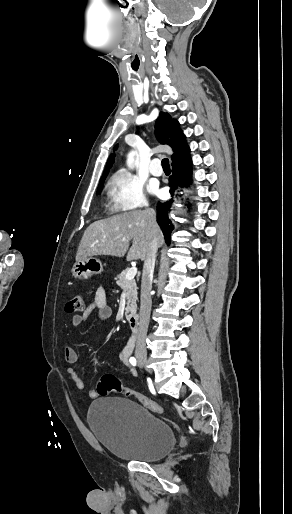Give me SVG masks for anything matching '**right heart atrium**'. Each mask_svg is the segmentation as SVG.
I'll return each mask as SVG.
<instances>
[{"label": "right heart atrium", "instance_id": "d8ad5b80", "mask_svg": "<svg viewBox=\"0 0 292 514\" xmlns=\"http://www.w3.org/2000/svg\"><path fill=\"white\" fill-rule=\"evenodd\" d=\"M144 187L145 182L140 176L118 171L108 185L109 199L118 212L119 209L142 208L146 204Z\"/></svg>", "mask_w": 292, "mask_h": 514}]
</instances>
